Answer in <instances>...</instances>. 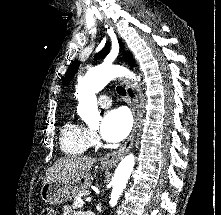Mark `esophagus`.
Listing matches in <instances>:
<instances>
[{"mask_svg":"<svg viewBox=\"0 0 221 215\" xmlns=\"http://www.w3.org/2000/svg\"><path fill=\"white\" fill-rule=\"evenodd\" d=\"M119 82L124 88H126V89L129 88V86H128V84H127V82L124 78L120 77ZM129 103L131 105L132 113H133V117H134V123H133L132 131L130 133V136H129L128 140L125 142V144L119 150H117L115 152H112V153H108L104 157L101 158V162L106 167L116 166L117 163L124 157V155L126 153L129 152V150L133 146L135 136H136V132H137V128H138V116H139V114H138V105L136 104L134 97L130 96Z\"/></svg>","mask_w":221,"mask_h":215,"instance_id":"obj_1","label":"esophagus"}]
</instances>
